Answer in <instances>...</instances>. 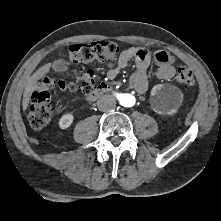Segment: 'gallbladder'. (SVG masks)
I'll list each match as a JSON object with an SVG mask.
<instances>
[{
  "label": "gallbladder",
  "instance_id": "bac80fb5",
  "mask_svg": "<svg viewBox=\"0 0 221 221\" xmlns=\"http://www.w3.org/2000/svg\"><path fill=\"white\" fill-rule=\"evenodd\" d=\"M52 68L55 72H64L67 70V63L63 59L56 60L53 62Z\"/></svg>",
  "mask_w": 221,
  "mask_h": 221
}]
</instances>
